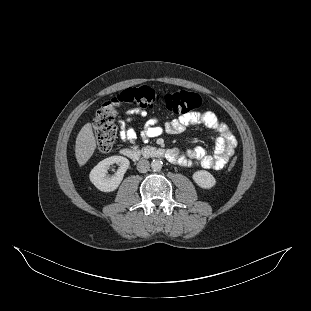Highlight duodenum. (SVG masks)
<instances>
[{
    "mask_svg": "<svg viewBox=\"0 0 311 311\" xmlns=\"http://www.w3.org/2000/svg\"><path fill=\"white\" fill-rule=\"evenodd\" d=\"M121 154L132 161L149 158L166 159L168 161L173 160V153L171 150L159 147H145L142 149L124 148L121 150Z\"/></svg>",
    "mask_w": 311,
    "mask_h": 311,
    "instance_id": "410a0bca",
    "label": "duodenum"
}]
</instances>
